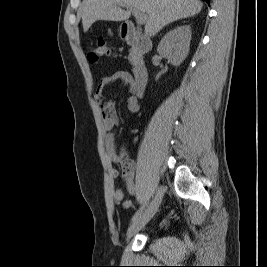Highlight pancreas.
Segmentation results:
<instances>
[{"label": "pancreas", "mask_w": 267, "mask_h": 267, "mask_svg": "<svg viewBox=\"0 0 267 267\" xmlns=\"http://www.w3.org/2000/svg\"><path fill=\"white\" fill-rule=\"evenodd\" d=\"M128 59L132 65H135L140 59V52L137 48L130 49Z\"/></svg>", "instance_id": "1"}]
</instances>
